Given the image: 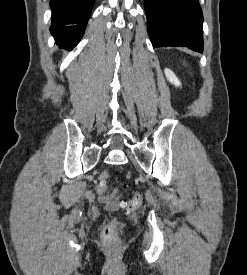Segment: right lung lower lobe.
<instances>
[{
  "instance_id": "1",
  "label": "right lung lower lobe",
  "mask_w": 247,
  "mask_h": 275,
  "mask_svg": "<svg viewBox=\"0 0 247 275\" xmlns=\"http://www.w3.org/2000/svg\"><path fill=\"white\" fill-rule=\"evenodd\" d=\"M95 0H50L51 34L60 48L72 49L82 38Z\"/></svg>"
}]
</instances>
